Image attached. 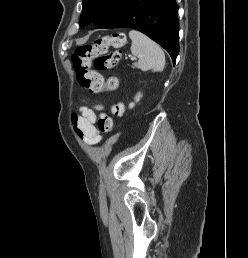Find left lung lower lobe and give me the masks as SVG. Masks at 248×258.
<instances>
[{
  "label": "left lung lower lobe",
  "instance_id": "left-lung-lower-lobe-1",
  "mask_svg": "<svg viewBox=\"0 0 248 258\" xmlns=\"http://www.w3.org/2000/svg\"><path fill=\"white\" fill-rule=\"evenodd\" d=\"M133 28L161 45L173 63L179 53L178 5L175 0H129L101 29Z\"/></svg>",
  "mask_w": 248,
  "mask_h": 258
}]
</instances>
